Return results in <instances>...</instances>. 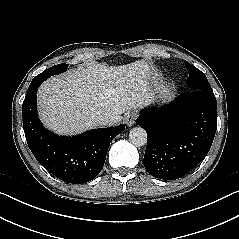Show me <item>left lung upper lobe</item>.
Wrapping results in <instances>:
<instances>
[{
  "label": "left lung upper lobe",
  "mask_w": 239,
  "mask_h": 239,
  "mask_svg": "<svg viewBox=\"0 0 239 239\" xmlns=\"http://www.w3.org/2000/svg\"><path fill=\"white\" fill-rule=\"evenodd\" d=\"M184 63L189 73V77L187 78V84L190 87V90L212 91V88L206 78V75L202 71L191 65L189 62L184 61Z\"/></svg>",
  "instance_id": "1"
}]
</instances>
